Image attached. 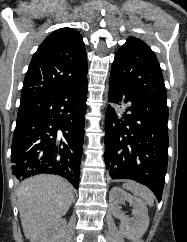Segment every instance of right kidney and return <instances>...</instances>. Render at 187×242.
I'll use <instances>...</instances> for the list:
<instances>
[{"instance_id": "ca27d5eb", "label": "right kidney", "mask_w": 187, "mask_h": 242, "mask_svg": "<svg viewBox=\"0 0 187 242\" xmlns=\"http://www.w3.org/2000/svg\"><path fill=\"white\" fill-rule=\"evenodd\" d=\"M66 227L65 219H58L55 223L49 225L40 232L33 242H59L61 234Z\"/></svg>"}]
</instances>
